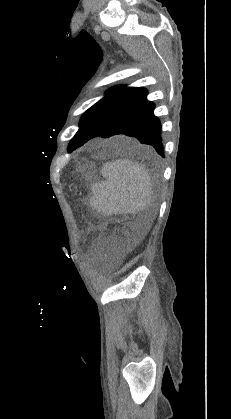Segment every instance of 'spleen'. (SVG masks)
Listing matches in <instances>:
<instances>
[{
	"instance_id": "1",
	"label": "spleen",
	"mask_w": 231,
	"mask_h": 419,
	"mask_svg": "<svg viewBox=\"0 0 231 419\" xmlns=\"http://www.w3.org/2000/svg\"><path fill=\"white\" fill-rule=\"evenodd\" d=\"M105 181L93 187L91 207L106 215L137 214L151 206L153 187L148 171L139 163L117 159L103 165Z\"/></svg>"
}]
</instances>
